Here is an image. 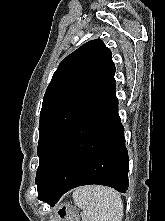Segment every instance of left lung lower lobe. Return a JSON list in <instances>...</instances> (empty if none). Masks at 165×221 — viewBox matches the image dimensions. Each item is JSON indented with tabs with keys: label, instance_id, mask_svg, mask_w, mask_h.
<instances>
[{
	"label": "left lung lower lobe",
	"instance_id": "left-lung-lower-lobe-1",
	"mask_svg": "<svg viewBox=\"0 0 165 221\" xmlns=\"http://www.w3.org/2000/svg\"><path fill=\"white\" fill-rule=\"evenodd\" d=\"M116 84L63 136L39 177L38 199L51 205L72 188L99 184L125 193L128 152Z\"/></svg>",
	"mask_w": 165,
	"mask_h": 221
}]
</instances>
